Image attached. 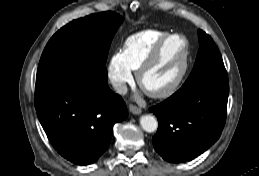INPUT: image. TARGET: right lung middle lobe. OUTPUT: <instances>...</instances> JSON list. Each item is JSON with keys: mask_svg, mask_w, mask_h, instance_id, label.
Instances as JSON below:
<instances>
[{"mask_svg": "<svg viewBox=\"0 0 259 176\" xmlns=\"http://www.w3.org/2000/svg\"><path fill=\"white\" fill-rule=\"evenodd\" d=\"M121 23L122 17L111 11L73 20L49 40L38 67L69 57L105 63L111 40Z\"/></svg>", "mask_w": 259, "mask_h": 176, "instance_id": "right-lung-middle-lobe-1", "label": "right lung middle lobe"}]
</instances>
